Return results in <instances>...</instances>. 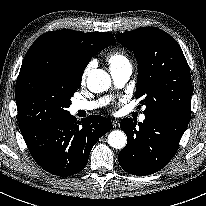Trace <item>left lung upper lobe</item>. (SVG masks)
<instances>
[{
    "instance_id": "5c2ea615",
    "label": "left lung upper lobe",
    "mask_w": 206,
    "mask_h": 206,
    "mask_svg": "<svg viewBox=\"0 0 206 206\" xmlns=\"http://www.w3.org/2000/svg\"><path fill=\"white\" fill-rule=\"evenodd\" d=\"M138 62L136 98L143 97L144 114L161 112L190 118L192 81L179 44L154 27L117 34Z\"/></svg>"
}]
</instances>
